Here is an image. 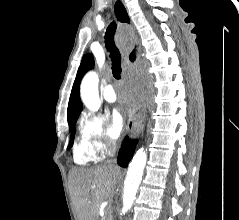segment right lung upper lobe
I'll list each match as a JSON object with an SVG mask.
<instances>
[{"label": "right lung upper lobe", "mask_w": 239, "mask_h": 220, "mask_svg": "<svg viewBox=\"0 0 239 220\" xmlns=\"http://www.w3.org/2000/svg\"><path fill=\"white\" fill-rule=\"evenodd\" d=\"M94 66V60L91 54H86L81 61V64L78 68L77 76L74 81L69 104H68V110H67V118L68 122H71L79 117V114L81 110L83 109L82 102L80 99V82L82 77L85 75V73L92 69Z\"/></svg>", "instance_id": "1"}]
</instances>
